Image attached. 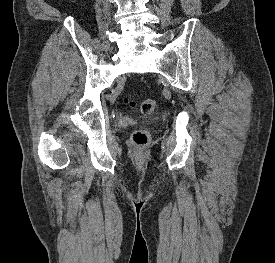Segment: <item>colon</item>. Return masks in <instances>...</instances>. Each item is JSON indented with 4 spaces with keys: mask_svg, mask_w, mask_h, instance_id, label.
Listing matches in <instances>:
<instances>
[{
    "mask_svg": "<svg viewBox=\"0 0 275 263\" xmlns=\"http://www.w3.org/2000/svg\"><path fill=\"white\" fill-rule=\"evenodd\" d=\"M125 101L130 106H136V102L129 97H126ZM156 109H157V102L152 98H146L142 100L139 104V110L141 111L142 114H145V115L153 114L156 111ZM131 141H132V144L137 147H145L149 145L151 142V132L147 129L136 130L132 133Z\"/></svg>",
    "mask_w": 275,
    "mask_h": 263,
    "instance_id": "colon-1",
    "label": "colon"
}]
</instances>
